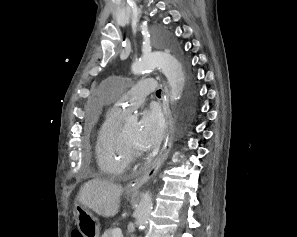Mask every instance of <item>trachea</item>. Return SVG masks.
I'll use <instances>...</instances> for the list:
<instances>
[{"label": "trachea", "mask_w": 297, "mask_h": 237, "mask_svg": "<svg viewBox=\"0 0 297 237\" xmlns=\"http://www.w3.org/2000/svg\"><path fill=\"white\" fill-rule=\"evenodd\" d=\"M160 94H161V90H158V91L156 92V95H157V96H160Z\"/></svg>", "instance_id": "obj_1"}]
</instances>
